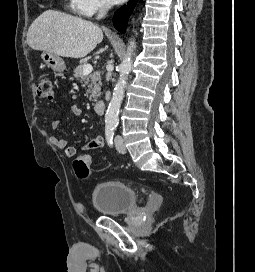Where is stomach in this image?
I'll return each instance as SVG.
<instances>
[{"label":"stomach","instance_id":"stomach-1","mask_svg":"<svg viewBox=\"0 0 255 272\" xmlns=\"http://www.w3.org/2000/svg\"><path fill=\"white\" fill-rule=\"evenodd\" d=\"M41 57L46 66L55 72H63L66 69L65 62L56 54L44 51Z\"/></svg>","mask_w":255,"mask_h":272}]
</instances>
